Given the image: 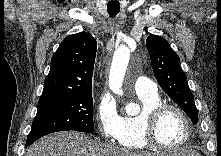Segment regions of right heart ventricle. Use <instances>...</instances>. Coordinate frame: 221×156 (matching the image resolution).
<instances>
[{
  "label": "right heart ventricle",
  "mask_w": 221,
  "mask_h": 156,
  "mask_svg": "<svg viewBox=\"0 0 221 156\" xmlns=\"http://www.w3.org/2000/svg\"><path fill=\"white\" fill-rule=\"evenodd\" d=\"M142 105V110L137 115H125L121 117L120 131L117 137L119 145L130 149H145L150 147L142 135V124L145 114L154 106L162 103L158 93L137 94Z\"/></svg>",
  "instance_id": "obj_1"
}]
</instances>
